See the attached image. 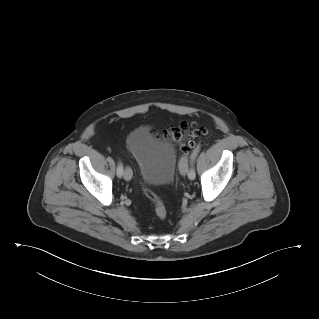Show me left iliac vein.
I'll return each mask as SVG.
<instances>
[{
	"label": "left iliac vein",
	"instance_id": "1",
	"mask_svg": "<svg viewBox=\"0 0 319 319\" xmlns=\"http://www.w3.org/2000/svg\"><path fill=\"white\" fill-rule=\"evenodd\" d=\"M179 168H180V173L183 176L188 175V178L190 177L188 173V158L186 156L183 157V159L181 160Z\"/></svg>",
	"mask_w": 319,
	"mask_h": 319
}]
</instances>
